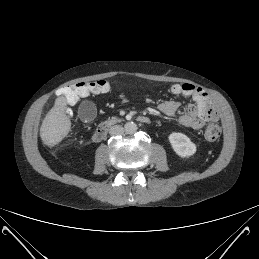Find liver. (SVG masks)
<instances>
[{"instance_id": "1", "label": "liver", "mask_w": 259, "mask_h": 259, "mask_svg": "<svg viewBox=\"0 0 259 259\" xmlns=\"http://www.w3.org/2000/svg\"><path fill=\"white\" fill-rule=\"evenodd\" d=\"M66 98H56L54 106L47 113L40 127V137L47 146H55L63 140L71 130V121L66 113Z\"/></svg>"}]
</instances>
